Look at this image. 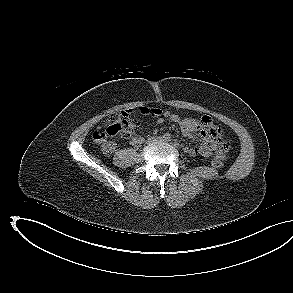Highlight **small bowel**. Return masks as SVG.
<instances>
[{
  "mask_svg": "<svg viewBox=\"0 0 293 293\" xmlns=\"http://www.w3.org/2000/svg\"><path fill=\"white\" fill-rule=\"evenodd\" d=\"M137 112L144 115H151L157 118L159 123L164 119L175 122L179 125L182 134L188 138L198 137L201 145L189 149L192 156L201 155L203 157H211L223 159L229 149V144L223 138V132L220 127L214 124L208 116H203L200 120L192 117H180L168 110L162 111L158 108H150L146 106L139 107ZM144 138L140 134H134L130 137L129 142L132 145H138L143 142Z\"/></svg>",
  "mask_w": 293,
  "mask_h": 293,
  "instance_id": "obj_1",
  "label": "small bowel"
}]
</instances>
